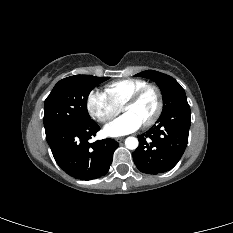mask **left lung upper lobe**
Masks as SVG:
<instances>
[{
	"label": "left lung upper lobe",
	"mask_w": 233,
	"mask_h": 233,
	"mask_svg": "<svg viewBox=\"0 0 233 233\" xmlns=\"http://www.w3.org/2000/svg\"><path fill=\"white\" fill-rule=\"evenodd\" d=\"M136 76L149 78L159 86L163 97L162 114L179 103L187 101L184 89L169 75L158 71L147 70L136 74Z\"/></svg>",
	"instance_id": "obj_1"
}]
</instances>
